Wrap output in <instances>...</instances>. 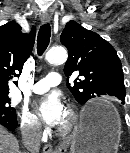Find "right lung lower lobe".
<instances>
[{
	"label": "right lung lower lobe",
	"instance_id": "1",
	"mask_svg": "<svg viewBox=\"0 0 130 153\" xmlns=\"http://www.w3.org/2000/svg\"><path fill=\"white\" fill-rule=\"evenodd\" d=\"M0 124L5 126L10 131L15 130L17 127V124H18L17 119H16V115L11 116V115H8V114L0 111Z\"/></svg>",
	"mask_w": 130,
	"mask_h": 153
}]
</instances>
